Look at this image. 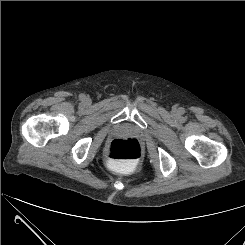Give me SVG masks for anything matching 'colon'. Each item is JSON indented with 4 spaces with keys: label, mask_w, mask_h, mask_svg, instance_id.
Listing matches in <instances>:
<instances>
[{
    "label": "colon",
    "mask_w": 245,
    "mask_h": 245,
    "mask_svg": "<svg viewBox=\"0 0 245 245\" xmlns=\"http://www.w3.org/2000/svg\"><path fill=\"white\" fill-rule=\"evenodd\" d=\"M106 152L110 161L133 166L139 161L142 148L135 138L115 139L107 146Z\"/></svg>",
    "instance_id": "5ec220e1"
}]
</instances>
